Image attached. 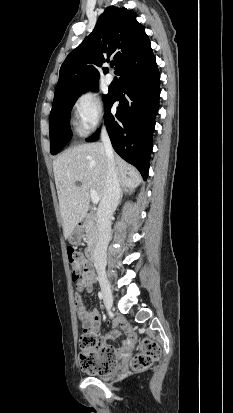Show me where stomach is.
<instances>
[{"mask_svg": "<svg viewBox=\"0 0 233 413\" xmlns=\"http://www.w3.org/2000/svg\"><path fill=\"white\" fill-rule=\"evenodd\" d=\"M83 234H84L83 228L81 226H76L71 232L70 236L68 237V241L72 245H78L83 238Z\"/></svg>", "mask_w": 233, "mask_h": 413, "instance_id": "stomach-1", "label": "stomach"}]
</instances>
